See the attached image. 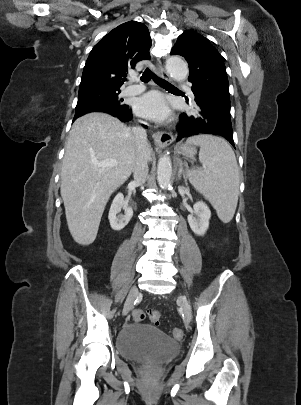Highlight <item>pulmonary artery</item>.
Wrapping results in <instances>:
<instances>
[{"mask_svg":"<svg viewBox=\"0 0 301 405\" xmlns=\"http://www.w3.org/2000/svg\"><path fill=\"white\" fill-rule=\"evenodd\" d=\"M132 84L129 85L128 87H126V89L124 90V93L127 95H137L139 93H141L142 91H144L145 86L142 84L137 83V80L135 78L131 79ZM187 91L189 93V95L191 97H193V93L192 91L187 88Z\"/></svg>","mask_w":301,"mask_h":405,"instance_id":"pulmonary-artery-1","label":"pulmonary artery"}]
</instances>
